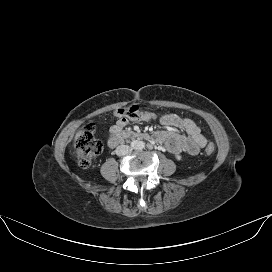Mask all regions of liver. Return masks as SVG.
Segmentation results:
<instances>
[{
  "mask_svg": "<svg viewBox=\"0 0 272 272\" xmlns=\"http://www.w3.org/2000/svg\"><path fill=\"white\" fill-rule=\"evenodd\" d=\"M82 134V131H79L76 136H75V140L79 139L80 135Z\"/></svg>",
  "mask_w": 272,
  "mask_h": 272,
  "instance_id": "liver-1",
  "label": "liver"
}]
</instances>
